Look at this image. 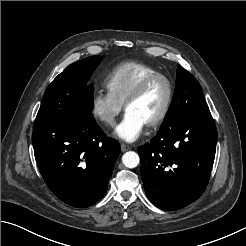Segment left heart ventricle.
Returning <instances> with one entry per match:
<instances>
[{"label":"left heart ventricle","mask_w":246,"mask_h":246,"mask_svg":"<svg viewBox=\"0 0 246 246\" xmlns=\"http://www.w3.org/2000/svg\"><path fill=\"white\" fill-rule=\"evenodd\" d=\"M166 97L167 85L163 80L157 79L137 100L129 104L126 110L134 112L147 124L161 112Z\"/></svg>","instance_id":"left-heart-ventricle-1"}]
</instances>
